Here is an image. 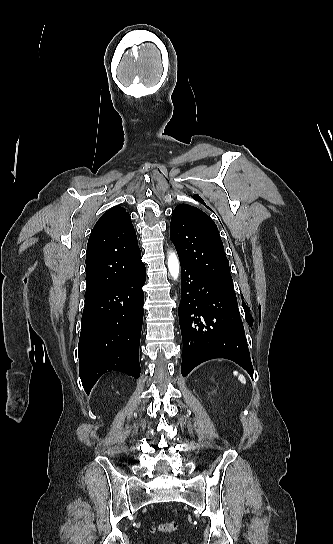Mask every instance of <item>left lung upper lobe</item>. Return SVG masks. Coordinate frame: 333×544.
Masks as SVG:
<instances>
[{
  "mask_svg": "<svg viewBox=\"0 0 333 544\" xmlns=\"http://www.w3.org/2000/svg\"><path fill=\"white\" fill-rule=\"evenodd\" d=\"M170 238L180 262L205 275L220 290L236 299L218 228L207 214L187 204L178 205L172 213Z\"/></svg>",
  "mask_w": 333,
  "mask_h": 544,
  "instance_id": "obj_1",
  "label": "left lung upper lobe"
}]
</instances>
